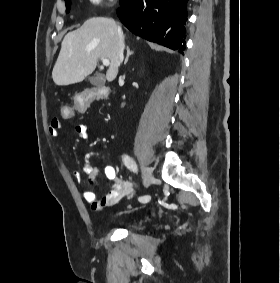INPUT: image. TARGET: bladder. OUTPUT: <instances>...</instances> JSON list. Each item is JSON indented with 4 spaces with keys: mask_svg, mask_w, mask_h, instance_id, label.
Returning a JSON list of instances; mask_svg holds the SVG:
<instances>
[{
    "mask_svg": "<svg viewBox=\"0 0 280 283\" xmlns=\"http://www.w3.org/2000/svg\"><path fill=\"white\" fill-rule=\"evenodd\" d=\"M127 227H128L129 229H134V230H138V229H140V227H139V226L134 225V224H128V225H127Z\"/></svg>",
    "mask_w": 280,
    "mask_h": 283,
    "instance_id": "bladder-1",
    "label": "bladder"
}]
</instances>
